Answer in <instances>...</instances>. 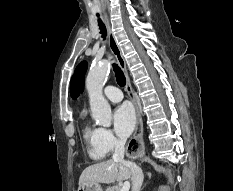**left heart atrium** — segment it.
Returning <instances> with one entry per match:
<instances>
[{
    "mask_svg": "<svg viewBox=\"0 0 233 191\" xmlns=\"http://www.w3.org/2000/svg\"><path fill=\"white\" fill-rule=\"evenodd\" d=\"M113 124L117 134L122 137H127L132 133L136 125V116L128 103H124L115 109Z\"/></svg>",
    "mask_w": 233,
    "mask_h": 191,
    "instance_id": "1",
    "label": "left heart atrium"
}]
</instances>
